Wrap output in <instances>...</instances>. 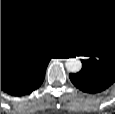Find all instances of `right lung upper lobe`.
<instances>
[{"instance_id":"1","label":"right lung upper lobe","mask_w":115,"mask_h":114,"mask_svg":"<svg viewBox=\"0 0 115 114\" xmlns=\"http://www.w3.org/2000/svg\"><path fill=\"white\" fill-rule=\"evenodd\" d=\"M42 59L44 57L29 54L19 38L1 36V71L18 70Z\"/></svg>"}]
</instances>
